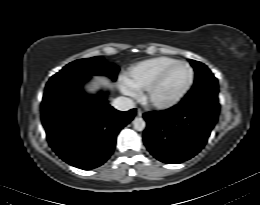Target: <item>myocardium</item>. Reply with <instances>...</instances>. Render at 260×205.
Instances as JSON below:
<instances>
[{
	"label": "myocardium",
	"instance_id": "1",
	"mask_svg": "<svg viewBox=\"0 0 260 205\" xmlns=\"http://www.w3.org/2000/svg\"><path fill=\"white\" fill-rule=\"evenodd\" d=\"M180 64L187 66L190 70L191 77H190V81H189L188 85L184 88V90L179 95H177L176 97H174L170 100H167V101L154 100L151 97L153 90L156 88L157 85L160 84V82L163 80V78L165 77V75L168 73V71L171 68H173L176 65H180ZM194 82H195V71H194V68L191 66V64L188 63L187 61L177 60V61L169 64L168 66H166L164 69H162L156 75V77L145 87L144 93L142 94V100L146 104H148L154 108H157V109L166 110V109L173 108L176 105H178L187 96V94L192 89Z\"/></svg>",
	"mask_w": 260,
	"mask_h": 205
}]
</instances>
